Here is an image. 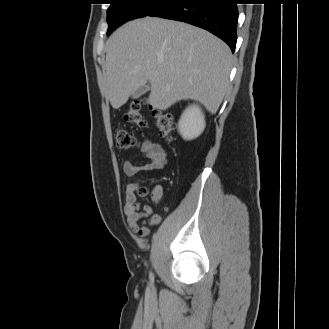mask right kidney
Returning <instances> with one entry per match:
<instances>
[{"instance_id":"obj_1","label":"right kidney","mask_w":329,"mask_h":329,"mask_svg":"<svg viewBox=\"0 0 329 329\" xmlns=\"http://www.w3.org/2000/svg\"><path fill=\"white\" fill-rule=\"evenodd\" d=\"M205 128V119L197 105L189 106L182 114L178 130L183 139L191 140L198 137Z\"/></svg>"}]
</instances>
